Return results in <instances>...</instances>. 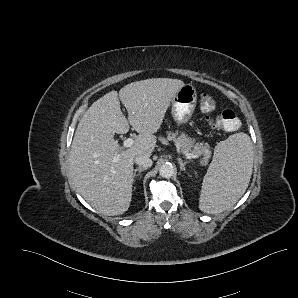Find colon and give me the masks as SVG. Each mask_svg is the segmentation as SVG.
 I'll use <instances>...</instances> for the list:
<instances>
[{
    "label": "colon",
    "instance_id": "colon-1",
    "mask_svg": "<svg viewBox=\"0 0 298 298\" xmlns=\"http://www.w3.org/2000/svg\"><path fill=\"white\" fill-rule=\"evenodd\" d=\"M199 105L204 113H211L215 109V100L208 94L199 96ZM210 124L215 128H220L228 132H234L240 128V120L232 110H224L210 119Z\"/></svg>",
    "mask_w": 298,
    "mask_h": 298
}]
</instances>
